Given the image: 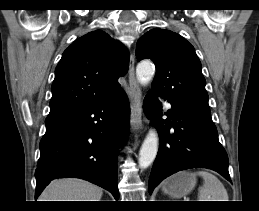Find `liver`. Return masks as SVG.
<instances>
[{"instance_id": "6515ba94", "label": "liver", "mask_w": 259, "mask_h": 211, "mask_svg": "<svg viewBox=\"0 0 259 211\" xmlns=\"http://www.w3.org/2000/svg\"><path fill=\"white\" fill-rule=\"evenodd\" d=\"M100 187L81 179L66 178L52 181L39 201H100Z\"/></svg>"}]
</instances>
